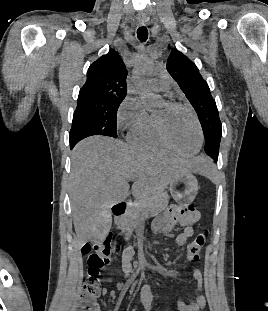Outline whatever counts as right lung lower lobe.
Here are the masks:
<instances>
[{"instance_id":"98d812e1","label":"right lung lower lobe","mask_w":268,"mask_h":311,"mask_svg":"<svg viewBox=\"0 0 268 311\" xmlns=\"http://www.w3.org/2000/svg\"><path fill=\"white\" fill-rule=\"evenodd\" d=\"M88 137L87 135H81V136H78L76 138H69V142H70V148L73 149V147L82 139Z\"/></svg>"}]
</instances>
